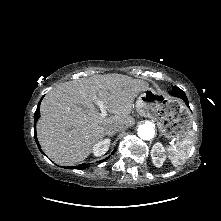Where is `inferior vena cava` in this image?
Instances as JSON below:
<instances>
[{"instance_id": "1", "label": "inferior vena cava", "mask_w": 221, "mask_h": 221, "mask_svg": "<svg viewBox=\"0 0 221 221\" xmlns=\"http://www.w3.org/2000/svg\"><path fill=\"white\" fill-rule=\"evenodd\" d=\"M126 128L127 127L123 126V125L111 124V125L106 126L105 132H106V134H111V133H116V132L122 131Z\"/></svg>"}]
</instances>
